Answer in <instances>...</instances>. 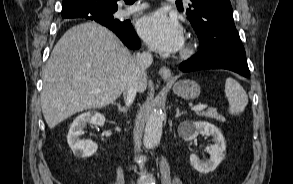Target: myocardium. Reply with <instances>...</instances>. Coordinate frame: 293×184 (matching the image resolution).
<instances>
[{"label":"myocardium","instance_id":"myocardium-1","mask_svg":"<svg viewBox=\"0 0 293 184\" xmlns=\"http://www.w3.org/2000/svg\"><path fill=\"white\" fill-rule=\"evenodd\" d=\"M197 49V45L193 40H188L186 44L184 45L180 55L184 59H188L192 57Z\"/></svg>","mask_w":293,"mask_h":184}]
</instances>
